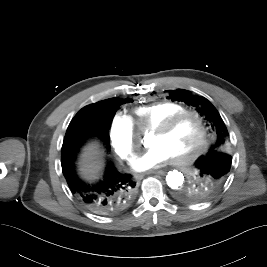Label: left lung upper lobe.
<instances>
[{"label": "left lung upper lobe", "mask_w": 267, "mask_h": 267, "mask_svg": "<svg viewBox=\"0 0 267 267\" xmlns=\"http://www.w3.org/2000/svg\"><path fill=\"white\" fill-rule=\"evenodd\" d=\"M167 92H169L168 99L181 101L196 108L197 112L204 118L206 125L214 132L216 141L202 158H209L215 154H226L230 156L228 147L229 134L219 112L213 104L204 97L192 95L187 90L177 89L167 90Z\"/></svg>", "instance_id": "5c2ea615"}]
</instances>
